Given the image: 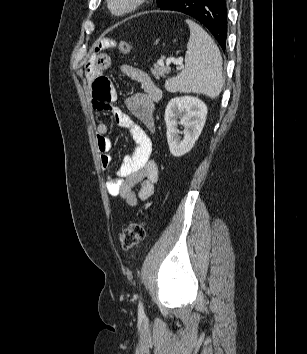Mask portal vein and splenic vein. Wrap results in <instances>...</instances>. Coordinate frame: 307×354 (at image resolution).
<instances>
[{
  "label": "portal vein and splenic vein",
  "instance_id": "18ae733b",
  "mask_svg": "<svg viewBox=\"0 0 307 354\" xmlns=\"http://www.w3.org/2000/svg\"><path fill=\"white\" fill-rule=\"evenodd\" d=\"M171 63L177 65V66H181L182 63H183V58H178V59H175V58H167L166 60V65L169 66ZM158 64L159 65H164V62L163 61H158Z\"/></svg>",
  "mask_w": 307,
  "mask_h": 354
}]
</instances>
